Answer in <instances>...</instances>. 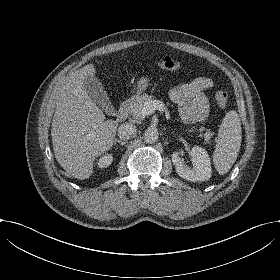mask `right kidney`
Returning <instances> with one entry per match:
<instances>
[{"label":"right kidney","mask_w":280,"mask_h":280,"mask_svg":"<svg viewBox=\"0 0 280 280\" xmlns=\"http://www.w3.org/2000/svg\"><path fill=\"white\" fill-rule=\"evenodd\" d=\"M112 161H113L112 154H105V155H103L102 157L99 158L98 167L99 168H106L109 165H111Z\"/></svg>","instance_id":"obj_1"}]
</instances>
